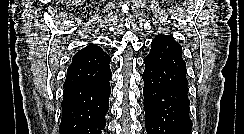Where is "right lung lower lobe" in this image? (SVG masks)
Here are the masks:
<instances>
[{
	"label": "right lung lower lobe",
	"instance_id": "1",
	"mask_svg": "<svg viewBox=\"0 0 244 134\" xmlns=\"http://www.w3.org/2000/svg\"><path fill=\"white\" fill-rule=\"evenodd\" d=\"M111 74L91 83L64 87L60 134H101L109 108Z\"/></svg>",
	"mask_w": 244,
	"mask_h": 134
}]
</instances>
